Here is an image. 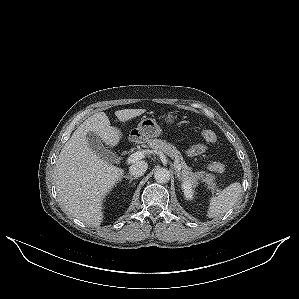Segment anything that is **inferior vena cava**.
I'll return each instance as SVG.
<instances>
[{"label": "inferior vena cava", "instance_id": "602c4592", "mask_svg": "<svg viewBox=\"0 0 299 299\" xmlns=\"http://www.w3.org/2000/svg\"><path fill=\"white\" fill-rule=\"evenodd\" d=\"M148 168V164L145 161H138L134 164H132L129 168V172L131 175H133L134 177H140L142 175H144V173L146 172Z\"/></svg>", "mask_w": 299, "mask_h": 299}]
</instances>
